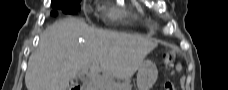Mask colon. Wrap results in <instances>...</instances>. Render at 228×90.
Returning a JSON list of instances; mask_svg holds the SVG:
<instances>
[{
  "instance_id": "obj_1",
  "label": "colon",
  "mask_w": 228,
  "mask_h": 90,
  "mask_svg": "<svg viewBox=\"0 0 228 90\" xmlns=\"http://www.w3.org/2000/svg\"><path fill=\"white\" fill-rule=\"evenodd\" d=\"M174 61V54L172 52H167L165 53V55L163 56V63L166 67H171ZM164 89L165 90H175L173 83H171L170 81H167L164 84Z\"/></svg>"
}]
</instances>
